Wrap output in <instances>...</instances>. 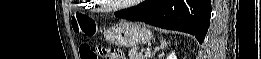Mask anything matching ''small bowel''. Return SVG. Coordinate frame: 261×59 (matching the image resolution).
Returning <instances> with one entry per match:
<instances>
[{
	"label": "small bowel",
	"instance_id": "small-bowel-1",
	"mask_svg": "<svg viewBox=\"0 0 261 59\" xmlns=\"http://www.w3.org/2000/svg\"><path fill=\"white\" fill-rule=\"evenodd\" d=\"M111 51H113L114 53L117 54L115 59H124V56L120 51H118V50H111Z\"/></svg>",
	"mask_w": 261,
	"mask_h": 59
}]
</instances>
